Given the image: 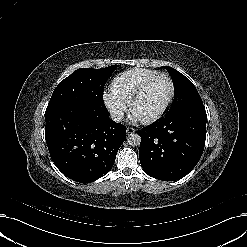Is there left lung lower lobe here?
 <instances>
[{
	"label": "left lung lower lobe",
	"mask_w": 247,
	"mask_h": 247,
	"mask_svg": "<svg viewBox=\"0 0 247 247\" xmlns=\"http://www.w3.org/2000/svg\"><path fill=\"white\" fill-rule=\"evenodd\" d=\"M206 122L205 107L199 100L139 130V159L145 173L164 181L186 176L202 156Z\"/></svg>",
	"instance_id": "0a47b994"
}]
</instances>
